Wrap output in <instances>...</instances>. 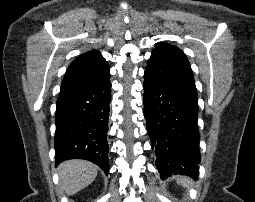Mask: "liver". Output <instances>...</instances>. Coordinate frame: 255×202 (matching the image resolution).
I'll use <instances>...</instances> for the list:
<instances>
[{
    "label": "liver",
    "mask_w": 255,
    "mask_h": 202,
    "mask_svg": "<svg viewBox=\"0 0 255 202\" xmlns=\"http://www.w3.org/2000/svg\"><path fill=\"white\" fill-rule=\"evenodd\" d=\"M58 171L62 188L69 196L87 187L97 176V166L84 160L65 161Z\"/></svg>",
    "instance_id": "liver-1"
}]
</instances>
